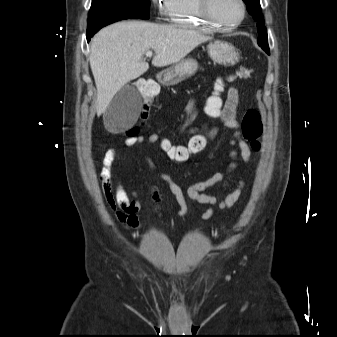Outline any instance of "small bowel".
I'll use <instances>...</instances> for the list:
<instances>
[{
  "label": "small bowel",
  "instance_id": "c3829d8e",
  "mask_svg": "<svg viewBox=\"0 0 337 337\" xmlns=\"http://www.w3.org/2000/svg\"><path fill=\"white\" fill-rule=\"evenodd\" d=\"M239 102V92L236 88L232 87L228 90L227 98L223 107H216L211 109H221L222 115L220 116V127H193L191 125L193 118L199 112V103L193 101L186 110L183 117L178 122L175 131L181 137H201L208 140H215L221 132V129L234 131L230 136L229 143L232 149L229 152L231 162L223 172H217L211 177L191 184L187 189V196L200 203L211 206H217L220 210H228L236 205L242 193L243 183L232 192L223 197L205 193V191L218 183L222 182L229 174L237 169V159H241L248 163L252 157V151L249 145L241 138L238 132L237 110ZM146 143L148 146L156 143L161 144V137L157 133H153L147 138L142 135L128 137L125 140L127 147L133 148ZM238 147L239 151L235 148ZM166 152V151H165ZM119 154L118 148H110L105 153L102 159V169L100 172V182L102 185V192L104 199L110 209L114 212L116 220L124 224L127 229L137 230L140 228L141 223L138 213L141 209V202L139 194L135 190H127L124 184L120 181L114 182L113 180V165L115 164ZM146 165L153 171L157 172L159 177L168 185L171 193L174 195L178 205V216L184 217L188 212L185 195L182 188L173 180V178L157 167L152 158L146 154L144 156ZM152 199L160 202V195L156 189L152 191ZM159 210V206L156 208ZM214 215V209L208 208L201 215L202 221L209 220Z\"/></svg>",
  "mask_w": 337,
  "mask_h": 337
}]
</instances>
